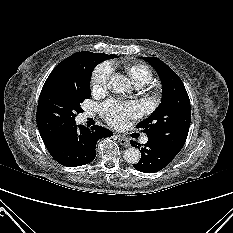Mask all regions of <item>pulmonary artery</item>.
I'll return each mask as SVG.
<instances>
[{
  "label": "pulmonary artery",
  "instance_id": "1",
  "mask_svg": "<svg viewBox=\"0 0 233 233\" xmlns=\"http://www.w3.org/2000/svg\"><path fill=\"white\" fill-rule=\"evenodd\" d=\"M90 115H91V114L87 113L85 116L88 117V116H90ZM147 141H148V138H147V137H144V138L142 139V143H143V144L147 143Z\"/></svg>",
  "mask_w": 233,
  "mask_h": 233
}]
</instances>
